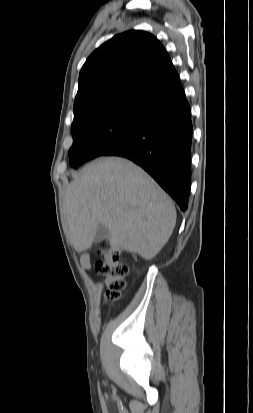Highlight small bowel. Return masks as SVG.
I'll return each instance as SVG.
<instances>
[{
  "label": "small bowel",
  "instance_id": "c3829d8e",
  "mask_svg": "<svg viewBox=\"0 0 253 413\" xmlns=\"http://www.w3.org/2000/svg\"><path fill=\"white\" fill-rule=\"evenodd\" d=\"M81 266L85 269L88 270L91 267L90 263V256L88 254H83L80 259Z\"/></svg>",
  "mask_w": 253,
  "mask_h": 413
}]
</instances>
